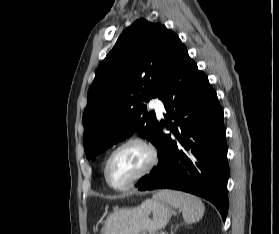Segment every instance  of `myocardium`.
<instances>
[{
    "label": "myocardium",
    "mask_w": 279,
    "mask_h": 234,
    "mask_svg": "<svg viewBox=\"0 0 279 234\" xmlns=\"http://www.w3.org/2000/svg\"><path fill=\"white\" fill-rule=\"evenodd\" d=\"M132 144L140 145L147 151L148 156H149L148 163L143 168V170L138 175H136L133 179H131L129 182L122 184V185H115L114 183H112V181L110 180V177H109L110 163H111L112 159L114 158V156L120 150H122L123 148H125L129 145H132ZM158 159H159L158 151L152 142H150L149 140H147L145 138L139 137V136L130 137V138L124 140L123 142H121L120 144H118L113 149V151L109 154V156L105 162V167H104L105 180H106L107 184L115 190H118V191L127 190V189L133 187L140 180L145 178L156 166V164L158 163Z\"/></svg>",
    "instance_id": "myocardium-1"
}]
</instances>
